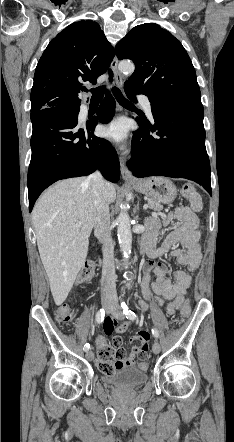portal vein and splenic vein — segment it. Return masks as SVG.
<instances>
[{"mask_svg": "<svg viewBox=\"0 0 234 442\" xmlns=\"http://www.w3.org/2000/svg\"><path fill=\"white\" fill-rule=\"evenodd\" d=\"M147 208H148V205L145 204V205L143 206V209L146 210ZM82 225H83L82 222H78V223H76L75 225H73V228H78V227H81Z\"/></svg>", "mask_w": 234, "mask_h": 442, "instance_id": "18ae733b", "label": "portal vein and splenic vein"}]
</instances>
